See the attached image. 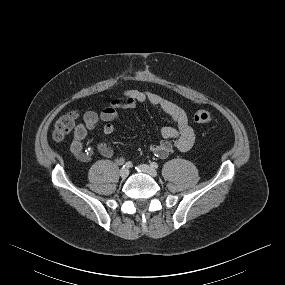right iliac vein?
<instances>
[{"mask_svg": "<svg viewBox=\"0 0 285 285\" xmlns=\"http://www.w3.org/2000/svg\"><path fill=\"white\" fill-rule=\"evenodd\" d=\"M119 174H120L121 178L125 179L129 175V170L125 169V168H122V169H120Z\"/></svg>", "mask_w": 285, "mask_h": 285, "instance_id": "1", "label": "right iliac vein"}]
</instances>
